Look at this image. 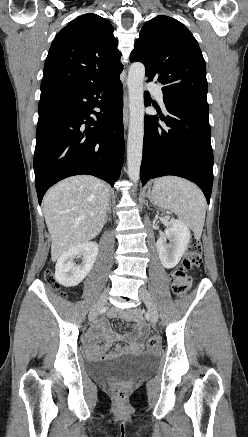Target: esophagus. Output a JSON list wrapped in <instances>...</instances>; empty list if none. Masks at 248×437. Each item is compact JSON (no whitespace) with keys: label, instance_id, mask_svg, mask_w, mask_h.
<instances>
[{"label":"esophagus","instance_id":"obj_1","mask_svg":"<svg viewBox=\"0 0 248 437\" xmlns=\"http://www.w3.org/2000/svg\"><path fill=\"white\" fill-rule=\"evenodd\" d=\"M128 112H129V103H128L127 97H125L124 108H123V123H124L125 129L128 126Z\"/></svg>","mask_w":248,"mask_h":437}]
</instances>
